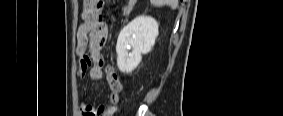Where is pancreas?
Returning <instances> with one entry per match:
<instances>
[{
	"instance_id": "obj_1",
	"label": "pancreas",
	"mask_w": 283,
	"mask_h": 116,
	"mask_svg": "<svg viewBox=\"0 0 283 116\" xmlns=\"http://www.w3.org/2000/svg\"><path fill=\"white\" fill-rule=\"evenodd\" d=\"M131 10H132V7H131V6L124 7V9H123V14H124L125 16H128V15L130 14Z\"/></svg>"
}]
</instances>
